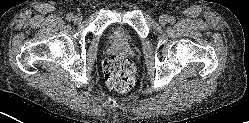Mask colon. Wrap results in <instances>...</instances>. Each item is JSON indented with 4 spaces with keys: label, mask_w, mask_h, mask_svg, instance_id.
Masks as SVG:
<instances>
[{
    "label": "colon",
    "mask_w": 249,
    "mask_h": 123,
    "mask_svg": "<svg viewBox=\"0 0 249 123\" xmlns=\"http://www.w3.org/2000/svg\"><path fill=\"white\" fill-rule=\"evenodd\" d=\"M104 76L109 88L117 92H127L136 82L132 61L120 54L109 56L104 62Z\"/></svg>",
    "instance_id": "colon-1"
}]
</instances>
